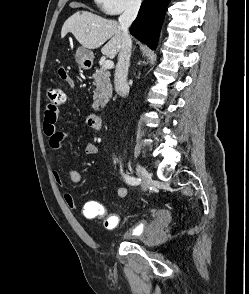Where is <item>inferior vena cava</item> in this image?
Returning <instances> with one entry per match:
<instances>
[{"mask_svg":"<svg viewBox=\"0 0 249 294\" xmlns=\"http://www.w3.org/2000/svg\"><path fill=\"white\" fill-rule=\"evenodd\" d=\"M140 5L141 0H132L126 7L124 13L119 17V26L122 31V45L116 65L114 84L116 92L122 97L127 96L129 93L127 76L132 49V40L129 35V27L135 20Z\"/></svg>","mask_w":249,"mask_h":294,"instance_id":"602c4592","label":"inferior vena cava"}]
</instances>
